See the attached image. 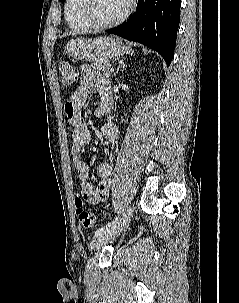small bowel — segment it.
<instances>
[{
  "instance_id": "small-bowel-1",
  "label": "small bowel",
  "mask_w": 239,
  "mask_h": 303,
  "mask_svg": "<svg viewBox=\"0 0 239 303\" xmlns=\"http://www.w3.org/2000/svg\"><path fill=\"white\" fill-rule=\"evenodd\" d=\"M79 87L73 92L65 104V114L71 126L73 165L80 182L83 198L91 204L104 202L109 195L112 180V166L109 162H101L97 166V176L100 181L95 187L89 181V166L83 160L82 154L91 142V134L81 118V110L89 100L91 93L96 91L99 96L98 113H107L112 108V96L108 81L95 73L87 65L81 67ZM102 134L107 142L116 143L119 140V130L113 123H106L102 127Z\"/></svg>"
}]
</instances>
